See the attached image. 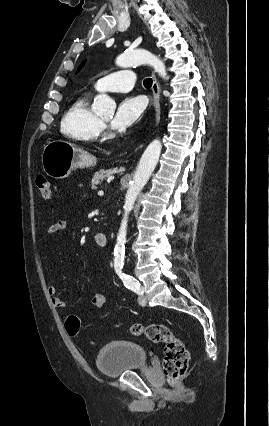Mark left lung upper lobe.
<instances>
[{
  "label": "left lung upper lobe",
  "mask_w": 269,
  "mask_h": 426,
  "mask_svg": "<svg viewBox=\"0 0 269 426\" xmlns=\"http://www.w3.org/2000/svg\"><path fill=\"white\" fill-rule=\"evenodd\" d=\"M83 64H84V63H82V64H81V66L79 67L78 71L82 68Z\"/></svg>",
  "instance_id": "1"
}]
</instances>
